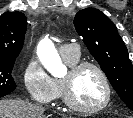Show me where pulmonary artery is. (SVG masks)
Returning <instances> with one entry per match:
<instances>
[{
    "instance_id": "obj_1",
    "label": "pulmonary artery",
    "mask_w": 133,
    "mask_h": 118,
    "mask_svg": "<svg viewBox=\"0 0 133 118\" xmlns=\"http://www.w3.org/2000/svg\"><path fill=\"white\" fill-rule=\"evenodd\" d=\"M62 57H74L79 55V47L75 44H65L60 47Z\"/></svg>"
}]
</instances>
